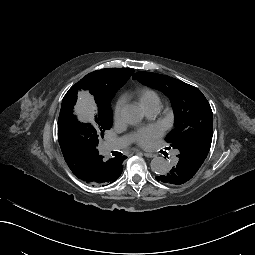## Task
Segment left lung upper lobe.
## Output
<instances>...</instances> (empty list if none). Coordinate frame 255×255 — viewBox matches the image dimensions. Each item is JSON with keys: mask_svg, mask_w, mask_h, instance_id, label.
<instances>
[{"mask_svg": "<svg viewBox=\"0 0 255 255\" xmlns=\"http://www.w3.org/2000/svg\"><path fill=\"white\" fill-rule=\"evenodd\" d=\"M133 79L170 98L175 127L165 140L179 150L178 163L184 170L191 171L193 177L206 159L212 142L213 114L207 99L196 87L166 75L138 72ZM171 170H175L174 167Z\"/></svg>", "mask_w": 255, "mask_h": 255, "instance_id": "left-lung-upper-lobe-1", "label": "left lung upper lobe"}]
</instances>
